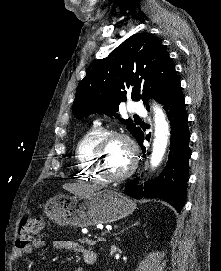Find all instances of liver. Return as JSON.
I'll return each mask as SVG.
<instances>
[{
  "instance_id": "1",
  "label": "liver",
  "mask_w": 221,
  "mask_h": 271,
  "mask_svg": "<svg viewBox=\"0 0 221 271\" xmlns=\"http://www.w3.org/2000/svg\"><path fill=\"white\" fill-rule=\"evenodd\" d=\"M70 191H77L75 187H71ZM80 193H87L86 189H80Z\"/></svg>"
}]
</instances>
